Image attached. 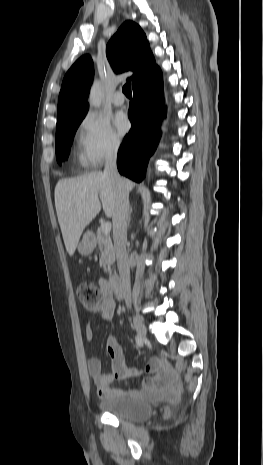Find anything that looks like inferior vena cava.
I'll return each mask as SVG.
<instances>
[{
  "label": "inferior vena cava",
  "instance_id": "602c4592",
  "mask_svg": "<svg viewBox=\"0 0 263 465\" xmlns=\"http://www.w3.org/2000/svg\"><path fill=\"white\" fill-rule=\"evenodd\" d=\"M119 144L113 145L106 154L103 175L107 176L116 188V205L112 216L113 240L118 270L127 307L131 306L130 264L126 251L127 221L129 214L128 192L117 171V152Z\"/></svg>",
  "mask_w": 263,
  "mask_h": 465
}]
</instances>
